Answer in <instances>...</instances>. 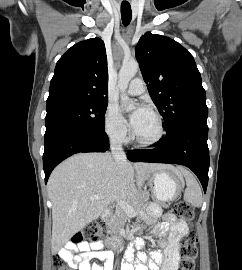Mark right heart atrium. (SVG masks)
<instances>
[{
  "label": "right heart atrium",
  "instance_id": "right-heart-atrium-1",
  "mask_svg": "<svg viewBox=\"0 0 242 270\" xmlns=\"http://www.w3.org/2000/svg\"><path fill=\"white\" fill-rule=\"evenodd\" d=\"M104 130L107 136L115 143H124L129 136L126 121L114 105H108L104 115Z\"/></svg>",
  "mask_w": 242,
  "mask_h": 270
}]
</instances>
